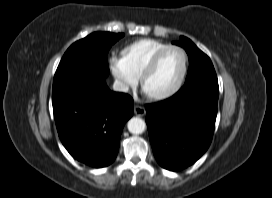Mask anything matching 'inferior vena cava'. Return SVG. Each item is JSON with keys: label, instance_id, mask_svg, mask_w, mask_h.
<instances>
[{"label": "inferior vena cava", "instance_id": "602c4592", "mask_svg": "<svg viewBox=\"0 0 272 198\" xmlns=\"http://www.w3.org/2000/svg\"><path fill=\"white\" fill-rule=\"evenodd\" d=\"M113 90L118 91V92H128L129 87L126 83L116 80L113 84Z\"/></svg>", "mask_w": 272, "mask_h": 198}]
</instances>
